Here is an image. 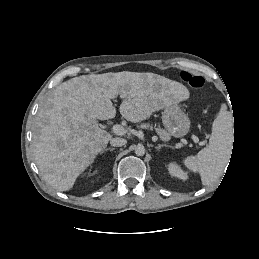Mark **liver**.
I'll list each match as a JSON object with an SVG mask.
<instances>
[{
	"label": "liver",
	"mask_w": 259,
	"mask_h": 259,
	"mask_svg": "<svg viewBox=\"0 0 259 259\" xmlns=\"http://www.w3.org/2000/svg\"><path fill=\"white\" fill-rule=\"evenodd\" d=\"M120 96V114L132 123L188 98L186 88L154 73L117 72L82 75L53 90L38 111L33 150L43 179L58 191L70 190L77 177L107 146L112 135L99 120L116 115L112 99Z\"/></svg>",
	"instance_id": "1"
}]
</instances>
